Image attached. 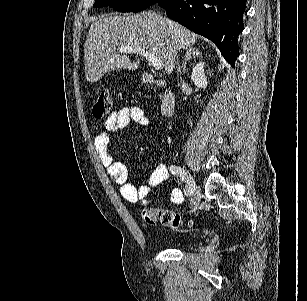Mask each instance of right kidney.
Masks as SVG:
<instances>
[{
	"instance_id": "right-kidney-1",
	"label": "right kidney",
	"mask_w": 307,
	"mask_h": 301,
	"mask_svg": "<svg viewBox=\"0 0 307 301\" xmlns=\"http://www.w3.org/2000/svg\"><path fill=\"white\" fill-rule=\"evenodd\" d=\"M204 66L205 62H202V60H200V62H197L194 68H192L190 76L191 80H193L194 84H196V86H199V88H207L208 86V78Z\"/></svg>"
}]
</instances>
